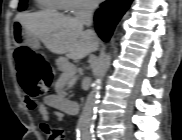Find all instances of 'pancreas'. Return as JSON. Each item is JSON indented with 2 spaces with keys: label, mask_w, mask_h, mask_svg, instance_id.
Masks as SVG:
<instances>
[{
  "label": "pancreas",
  "mask_w": 182,
  "mask_h": 140,
  "mask_svg": "<svg viewBox=\"0 0 182 140\" xmlns=\"http://www.w3.org/2000/svg\"><path fill=\"white\" fill-rule=\"evenodd\" d=\"M56 65L58 70L62 72V76H66L68 78L72 77L76 73V68L73 64L69 63L68 59L60 58L57 60ZM65 95V89L61 93Z\"/></svg>",
  "instance_id": "1"
}]
</instances>
